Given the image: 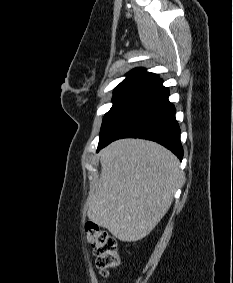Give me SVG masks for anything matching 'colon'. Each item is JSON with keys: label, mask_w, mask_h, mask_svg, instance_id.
Here are the masks:
<instances>
[{"label": "colon", "mask_w": 233, "mask_h": 283, "mask_svg": "<svg viewBox=\"0 0 233 283\" xmlns=\"http://www.w3.org/2000/svg\"><path fill=\"white\" fill-rule=\"evenodd\" d=\"M85 233L93 247L97 267L103 276H108L110 270L119 264L115 239L93 222L85 224Z\"/></svg>", "instance_id": "obj_1"}]
</instances>
